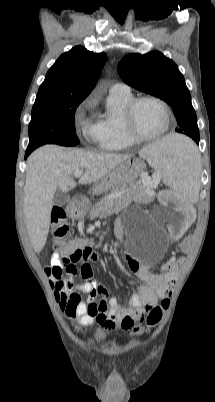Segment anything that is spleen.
Segmentation results:
<instances>
[{"label":"spleen","instance_id":"obj_1","mask_svg":"<svg viewBox=\"0 0 215 402\" xmlns=\"http://www.w3.org/2000/svg\"><path fill=\"white\" fill-rule=\"evenodd\" d=\"M152 168L174 191L187 193L185 202L193 203L199 191L197 153L187 134L168 135L140 151Z\"/></svg>","mask_w":215,"mask_h":402}]
</instances>
